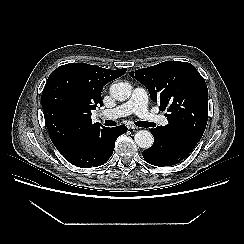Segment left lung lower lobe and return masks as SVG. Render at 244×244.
Here are the masks:
<instances>
[{"label":"left lung lower lobe","mask_w":244,"mask_h":244,"mask_svg":"<svg viewBox=\"0 0 244 244\" xmlns=\"http://www.w3.org/2000/svg\"><path fill=\"white\" fill-rule=\"evenodd\" d=\"M154 136L153 145L143 151L146 162L155 166H172L188 157L190 152L184 151L177 145L158 138L157 128L151 129Z\"/></svg>","instance_id":"left-lung-lower-lobe-1"}]
</instances>
